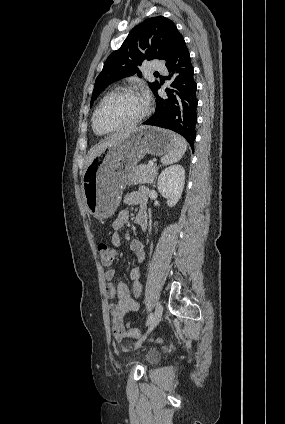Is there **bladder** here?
<instances>
[{
	"instance_id": "obj_1",
	"label": "bladder",
	"mask_w": 285,
	"mask_h": 424,
	"mask_svg": "<svg viewBox=\"0 0 285 424\" xmlns=\"http://www.w3.org/2000/svg\"><path fill=\"white\" fill-rule=\"evenodd\" d=\"M145 356L149 362H157L160 359V353L157 351H148Z\"/></svg>"
}]
</instances>
